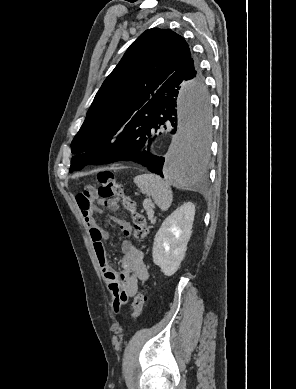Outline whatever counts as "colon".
Returning <instances> with one entry per match:
<instances>
[{"label":"colon","mask_w":296,"mask_h":389,"mask_svg":"<svg viewBox=\"0 0 296 389\" xmlns=\"http://www.w3.org/2000/svg\"><path fill=\"white\" fill-rule=\"evenodd\" d=\"M98 188L97 195L107 205L118 206V202L124 209H126L132 217L133 222V233L137 240H143L148 234V226L145 217L141 214L136 207L135 201L123 192L121 183L116 179L113 172L104 170L98 173ZM93 188L87 187L85 192H88ZM146 295L144 291H140L134 298L133 307V318L137 320L141 315L146 305Z\"/></svg>","instance_id":"1"}]
</instances>
